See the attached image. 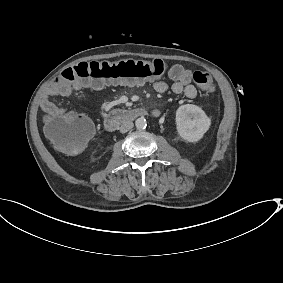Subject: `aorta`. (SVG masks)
Wrapping results in <instances>:
<instances>
[{"label":"aorta","mask_w":283,"mask_h":283,"mask_svg":"<svg viewBox=\"0 0 283 283\" xmlns=\"http://www.w3.org/2000/svg\"><path fill=\"white\" fill-rule=\"evenodd\" d=\"M135 126L137 129H145L147 126L146 119L143 117L136 119Z\"/></svg>","instance_id":"1"}]
</instances>
